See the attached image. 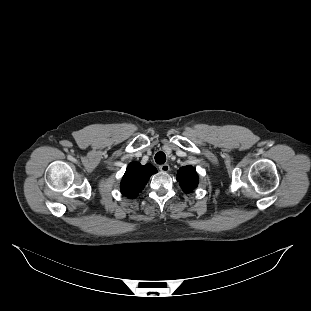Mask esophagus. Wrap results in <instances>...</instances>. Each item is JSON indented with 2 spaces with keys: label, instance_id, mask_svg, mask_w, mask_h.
Returning <instances> with one entry per match:
<instances>
[{
  "label": "esophagus",
  "instance_id": "1",
  "mask_svg": "<svg viewBox=\"0 0 311 311\" xmlns=\"http://www.w3.org/2000/svg\"><path fill=\"white\" fill-rule=\"evenodd\" d=\"M159 170L162 172H168L170 170V166L168 164H162L159 166Z\"/></svg>",
  "mask_w": 311,
  "mask_h": 311
}]
</instances>
